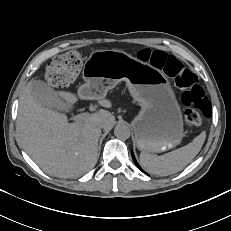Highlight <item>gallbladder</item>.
<instances>
[{"mask_svg": "<svg viewBox=\"0 0 231 231\" xmlns=\"http://www.w3.org/2000/svg\"><path fill=\"white\" fill-rule=\"evenodd\" d=\"M31 95L43 107L62 109L66 106L56 91L40 80L33 82Z\"/></svg>", "mask_w": 231, "mask_h": 231, "instance_id": "1", "label": "gallbladder"}]
</instances>
